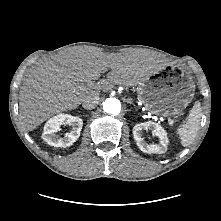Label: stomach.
Instances as JSON below:
<instances>
[{
  "mask_svg": "<svg viewBox=\"0 0 221 221\" xmlns=\"http://www.w3.org/2000/svg\"><path fill=\"white\" fill-rule=\"evenodd\" d=\"M139 100L156 115L172 116L180 113L192 101L195 85L183 70H157L137 87Z\"/></svg>",
  "mask_w": 221,
  "mask_h": 221,
  "instance_id": "0dacf381",
  "label": "stomach"
}]
</instances>
